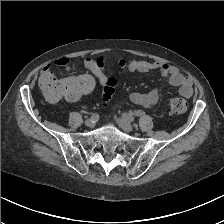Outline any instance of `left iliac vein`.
Wrapping results in <instances>:
<instances>
[{
  "mask_svg": "<svg viewBox=\"0 0 224 224\" xmlns=\"http://www.w3.org/2000/svg\"><path fill=\"white\" fill-rule=\"evenodd\" d=\"M117 123L119 125V127L124 130L125 132H132L133 131V126L130 122H128L126 119L124 118H119L117 119Z\"/></svg>",
  "mask_w": 224,
  "mask_h": 224,
  "instance_id": "1",
  "label": "left iliac vein"
}]
</instances>
